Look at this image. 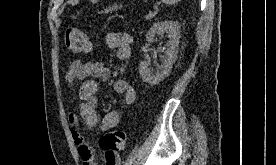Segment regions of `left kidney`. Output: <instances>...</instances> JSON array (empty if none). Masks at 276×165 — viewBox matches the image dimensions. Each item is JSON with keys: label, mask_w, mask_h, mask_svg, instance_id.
Wrapping results in <instances>:
<instances>
[{"label": "left kidney", "mask_w": 276, "mask_h": 165, "mask_svg": "<svg viewBox=\"0 0 276 165\" xmlns=\"http://www.w3.org/2000/svg\"><path fill=\"white\" fill-rule=\"evenodd\" d=\"M168 34L169 40L165 44L167 47L166 56L158 70L150 68V62L142 61L139 64V73L142 79L150 85H156L170 73L177 58L178 45L180 39V24L177 21H164L154 23L146 34L148 42H153L158 34Z\"/></svg>", "instance_id": "5707ae66"}]
</instances>
